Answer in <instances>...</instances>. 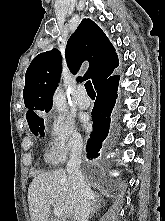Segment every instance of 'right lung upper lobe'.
<instances>
[{
    "instance_id": "obj_1",
    "label": "right lung upper lobe",
    "mask_w": 165,
    "mask_h": 221,
    "mask_svg": "<svg viewBox=\"0 0 165 221\" xmlns=\"http://www.w3.org/2000/svg\"><path fill=\"white\" fill-rule=\"evenodd\" d=\"M65 57L70 71L76 74L83 61L89 69L77 80L92 79L94 87L113 75L118 66V57L113 45L100 27L90 19H83L69 38ZM61 55L57 49L37 55L25 75L24 102L28 123L48 112L52 107V96L60 80Z\"/></svg>"
}]
</instances>
